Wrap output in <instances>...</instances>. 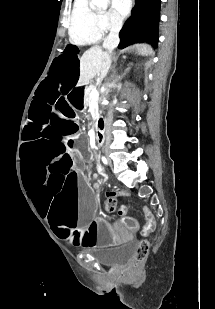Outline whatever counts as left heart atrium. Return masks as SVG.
I'll return each instance as SVG.
<instances>
[{
    "label": "left heart atrium",
    "instance_id": "39dd6f15",
    "mask_svg": "<svg viewBox=\"0 0 215 309\" xmlns=\"http://www.w3.org/2000/svg\"><path fill=\"white\" fill-rule=\"evenodd\" d=\"M113 7H116L113 11L116 14L120 12H130L131 7L128 5V0H112Z\"/></svg>",
    "mask_w": 215,
    "mask_h": 309
}]
</instances>
